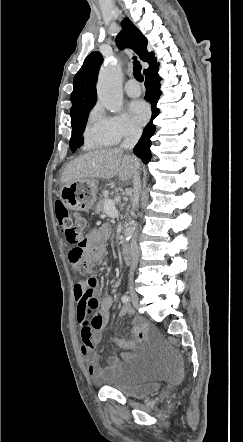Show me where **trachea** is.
<instances>
[{
    "mask_svg": "<svg viewBox=\"0 0 243 442\" xmlns=\"http://www.w3.org/2000/svg\"><path fill=\"white\" fill-rule=\"evenodd\" d=\"M133 60H134L133 75H134L136 80H138L139 82H143L144 78H143V75L141 73V65L137 61L136 56L133 57Z\"/></svg>",
    "mask_w": 243,
    "mask_h": 442,
    "instance_id": "1",
    "label": "trachea"
}]
</instances>
